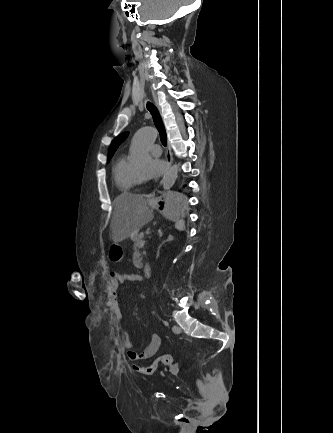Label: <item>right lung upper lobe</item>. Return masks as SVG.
<instances>
[{
	"mask_svg": "<svg viewBox=\"0 0 333 433\" xmlns=\"http://www.w3.org/2000/svg\"><path fill=\"white\" fill-rule=\"evenodd\" d=\"M127 136H128V132H125V133L119 135L118 137H116L112 141L110 149H109L107 162H109L110 158L113 156V154L116 151V149L118 148V146L127 138Z\"/></svg>",
	"mask_w": 333,
	"mask_h": 433,
	"instance_id": "right-lung-upper-lobe-1",
	"label": "right lung upper lobe"
}]
</instances>
